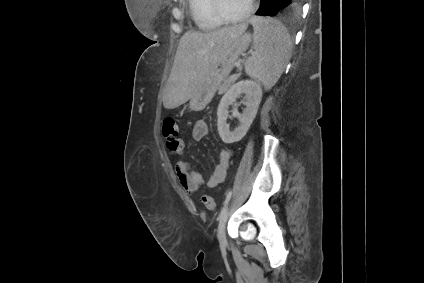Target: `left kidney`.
<instances>
[{
  "mask_svg": "<svg viewBox=\"0 0 424 283\" xmlns=\"http://www.w3.org/2000/svg\"><path fill=\"white\" fill-rule=\"evenodd\" d=\"M241 94H245L244 104L246 108L243 110L242 114H239L235 105L232 115L239 119L240 125L231 132L229 125L226 123L229 113L228 108L229 105L235 104L236 99ZM261 98V85L252 80H241L227 91V93L222 97L217 109V127L223 142H237L246 135L254 118L256 117Z\"/></svg>",
  "mask_w": 424,
  "mask_h": 283,
  "instance_id": "1",
  "label": "left kidney"
}]
</instances>
